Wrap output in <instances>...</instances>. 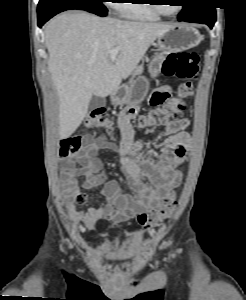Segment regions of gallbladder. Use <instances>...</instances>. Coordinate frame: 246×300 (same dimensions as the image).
Segmentation results:
<instances>
[{"instance_id": "bac80fb5", "label": "gallbladder", "mask_w": 246, "mask_h": 300, "mask_svg": "<svg viewBox=\"0 0 246 300\" xmlns=\"http://www.w3.org/2000/svg\"><path fill=\"white\" fill-rule=\"evenodd\" d=\"M106 105V100L98 95H93L90 99L89 105H88V109L90 111H93L95 109L104 107Z\"/></svg>"}]
</instances>
